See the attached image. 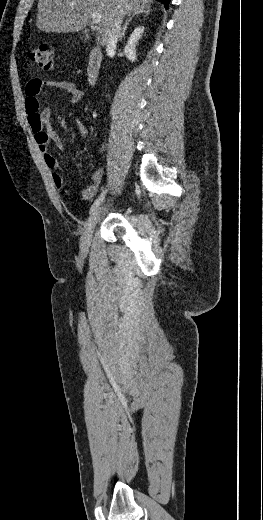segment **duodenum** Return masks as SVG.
Segmentation results:
<instances>
[{
	"label": "duodenum",
	"mask_w": 263,
	"mask_h": 520,
	"mask_svg": "<svg viewBox=\"0 0 263 520\" xmlns=\"http://www.w3.org/2000/svg\"><path fill=\"white\" fill-rule=\"evenodd\" d=\"M103 55L98 47H92L89 52L88 63L86 67L87 80L90 85H94L98 79Z\"/></svg>",
	"instance_id": "duodenum-1"
}]
</instances>
